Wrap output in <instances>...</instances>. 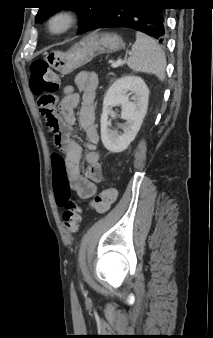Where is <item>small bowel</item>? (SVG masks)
Returning a JSON list of instances; mask_svg holds the SVG:
<instances>
[{
    "label": "small bowel",
    "mask_w": 213,
    "mask_h": 338,
    "mask_svg": "<svg viewBox=\"0 0 213 338\" xmlns=\"http://www.w3.org/2000/svg\"><path fill=\"white\" fill-rule=\"evenodd\" d=\"M75 86L78 91L72 85L62 89L58 120L63 132L62 145L66 153L65 158L55 153L52 156V167L55 173L64 171L72 190L80 199L88 200L96 193V183L102 180V167L97 152L99 136L93 106L98 77L93 72H82L76 76ZM81 100L79 116L76 117L75 109ZM76 122L86 136L85 152L76 141L77 133L74 129ZM81 158L84 160L82 169L80 168Z\"/></svg>",
    "instance_id": "1"
}]
</instances>
